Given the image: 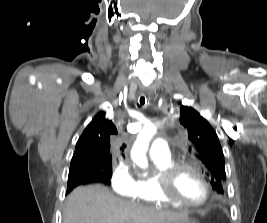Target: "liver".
I'll use <instances>...</instances> for the list:
<instances>
[{
	"label": "liver",
	"mask_w": 267,
	"mask_h": 223,
	"mask_svg": "<svg viewBox=\"0 0 267 223\" xmlns=\"http://www.w3.org/2000/svg\"><path fill=\"white\" fill-rule=\"evenodd\" d=\"M186 212L163 211L117 198L101 184L76 188L67 198L63 223H174Z\"/></svg>",
	"instance_id": "obj_1"
}]
</instances>
